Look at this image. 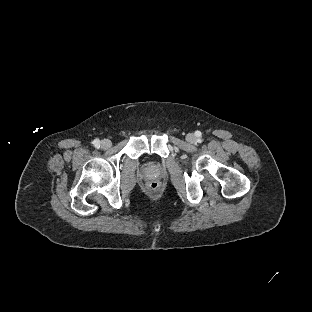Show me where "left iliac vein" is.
Instances as JSON below:
<instances>
[{
  "label": "left iliac vein",
  "mask_w": 312,
  "mask_h": 312,
  "mask_svg": "<svg viewBox=\"0 0 312 312\" xmlns=\"http://www.w3.org/2000/svg\"><path fill=\"white\" fill-rule=\"evenodd\" d=\"M186 140H187L188 142H194V141H195V134L189 133V134L186 136Z\"/></svg>",
  "instance_id": "1"
}]
</instances>
